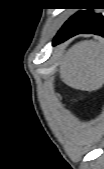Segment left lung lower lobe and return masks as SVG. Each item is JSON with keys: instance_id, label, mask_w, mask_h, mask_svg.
I'll return each mask as SVG.
<instances>
[{"instance_id": "obj_1", "label": "left lung lower lobe", "mask_w": 104, "mask_h": 169, "mask_svg": "<svg viewBox=\"0 0 104 169\" xmlns=\"http://www.w3.org/2000/svg\"><path fill=\"white\" fill-rule=\"evenodd\" d=\"M87 9L79 11L71 16L54 37L53 45L62 43L72 36L80 33H93L104 36V18L101 14L96 15L92 12V7H78Z\"/></svg>"}]
</instances>
